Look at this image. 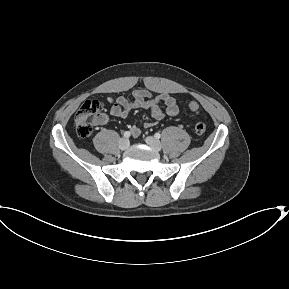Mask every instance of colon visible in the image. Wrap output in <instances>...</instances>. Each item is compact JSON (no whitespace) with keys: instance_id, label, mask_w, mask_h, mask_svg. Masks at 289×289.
Wrapping results in <instances>:
<instances>
[{"instance_id":"1","label":"colon","mask_w":289,"mask_h":289,"mask_svg":"<svg viewBox=\"0 0 289 289\" xmlns=\"http://www.w3.org/2000/svg\"><path fill=\"white\" fill-rule=\"evenodd\" d=\"M103 105L98 100H87L83 103L75 116V130L81 138L88 137L93 130L95 122L101 117ZM189 108L194 112H199V104L196 101L189 102ZM197 134H203L206 131V124L199 121L195 124Z\"/></svg>"}]
</instances>
